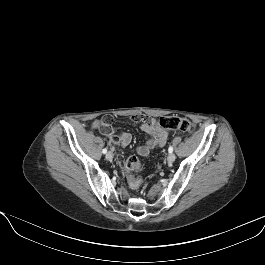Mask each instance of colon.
Returning <instances> with one entry per match:
<instances>
[{"label": "colon", "instance_id": "1", "mask_svg": "<svg viewBox=\"0 0 265 265\" xmlns=\"http://www.w3.org/2000/svg\"><path fill=\"white\" fill-rule=\"evenodd\" d=\"M111 123L112 117L106 115L99 123H97V125L102 132H109L111 130ZM155 124L158 127L183 133H192L194 131V125L189 119L178 116L160 117L155 121ZM141 169V161L136 156H131L127 159L125 170L128 175V184L131 189H138L144 183V179L141 176L134 175V172H138Z\"/></svg>", "mask_w": 265, "mask_h": 265}]
</instances>
